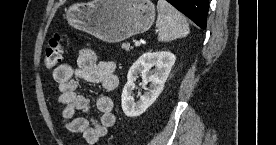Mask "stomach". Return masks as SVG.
Listing matches in <instances>:
<instances>
[{
	"label": "stomach",
	"mask_w": 276,
	"mask_h": 145,
	"mask_svg": "<svg viewBox=\"0 0 276 145\" xmlns=\"http://www.w3.org/2000/svg\"><path fill=\"white\" fill-rule=\"evenodd\" d=\"M65 18L75 29L115 43L147 31L155 19L150 0H92L65 9Z\"/></svg>",
	"instance_id": "obj_1"
}]
</instances>
